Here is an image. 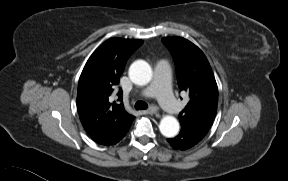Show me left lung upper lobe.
<instances>
[{
	"label": "left lung upper lobe",
	"mask_w": 288,
	"mask_h": 181,
	"mask_svg": "<svg viewBox=\"0 0 288 181\" xmlns=\"http://www.w3.org/2000/svg\"><path fill=\"white\" fill-rule=\"evenodd\" d=\"M162 42L174 58L180 90L190 97L179 114L181 126L208 130L217 112L218 88L207 58L182 37H165Z\"/></svg>",
	"instance_id": "obj_1"
}]
</instances>
